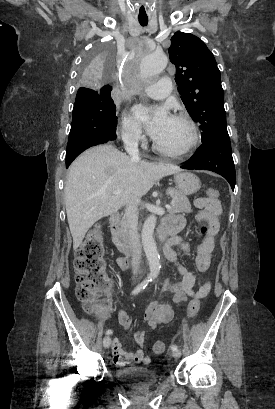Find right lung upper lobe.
I'll list each match as a JSON object with an SVG mask.
<instances>
[{"instance_id":"right-lung-upper-lobe-1","label":"right lung upper lobe","mask_w":275,"mask_h":409,"mask_svg":"<svg viewBox=\"0 0 275 409\" xmlns=\"http://www.w3.org/2000/svg\"><path fill=\"white\" fill-rule=\"evenodd\" d=\"M111 90H112V87L109 84H107V85L102 86L101 90H78V92L93 93L101 97V96H111L110 95Z\"/></svg>"}]
</instances>
